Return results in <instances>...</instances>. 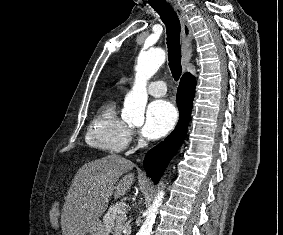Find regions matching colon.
Wrapping results in <instances>:
<instances>
[{"label": "colon", "mask_w": 283, "mask_h": 235, "mask_svg": "<svg viewBox=\"0 0 283 235\" xmlns=\"http://www.w3.org/2000/svg\"><path fill=\"white\" fill-rule=\"evenodd\" d=\"M59 216V208L57 204H54L50 210V218L52 220H57Z\"/></svg>", "instance_id": "1"}]
</instances>
